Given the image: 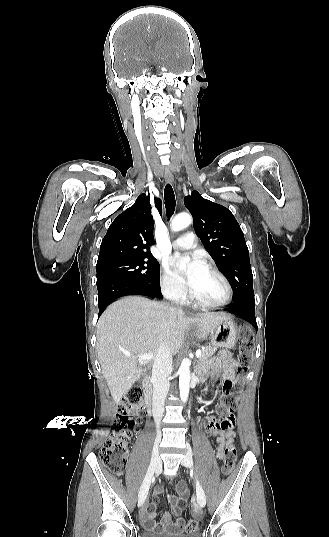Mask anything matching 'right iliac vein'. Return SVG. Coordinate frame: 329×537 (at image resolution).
I'll return each instance as SVG.
<instances>
[{"label": "right iliac vein", "mask_w": 329, "mask_h": 537, "mask_svg": "<svg viewBox=\"0 0 329 537\" xmlns=\"http://www.w3.org/2000/svg\"><path fill=\"white\" fill-rule=\"evenodd\" d=\"M159 468H160V458L158 455V445L156 444L152 453V457H151V461H150L147 473L145 475V478L139 490L138 503L140 505L144 503L147 497L148 491H149V487H150L153 475L157 470H159Z\"/></svg>", "instance_id": "1"}]
</instances>
